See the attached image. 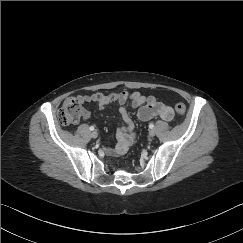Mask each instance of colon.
Wrapping results in <instances>:
<instances>
[{"mask_svg": "<svg viewBox=\"0 0 243 243\" xmlns=\"http://www.w3.org/2000/svg\"><path fill=\"white\" fill-rule=\"evenodd\" d=\"M174 110L179 115L186 112L184 103L178 102L174 105ZM82 100L80 98H67L57 112V120L63 125L76 124L82 116ZM128 153V152H125Z\"/></svg>", "mask_w": 243, "mask_h": 243, "instance_id": "obj_1", "label": "colon"}]
</instances>
